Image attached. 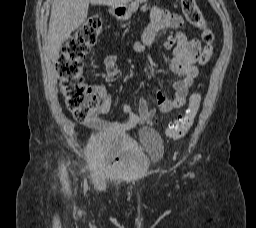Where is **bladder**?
Listing matches in <instances>:
<instances>
[{
	"label": "bladder",
	"mask_w": 256,
	"mask_h": 228,
	"mask_svg": "<svg viewBox=\"0 0 256 228\" xmlns=\"http://www.w3.org/2000/svg\"><path fill=\"white\" fill-rule=\"evenodd\" d=\"M140 143L124 135H101L92 139L87 153L93 170L103 177H128L142 173L162 157L164 143L151 128L140 132Z\"/></svg>",
	"instance_id": "1"
}]
</instances>
